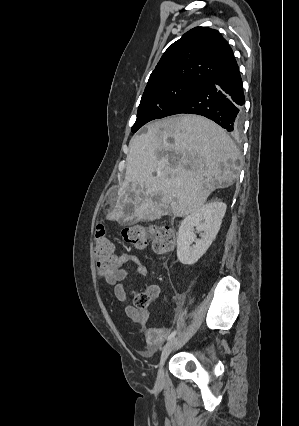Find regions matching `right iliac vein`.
<instances>
[{"mask_svg":"<svg viewBox=\"0 0 299 426\" xmlns=\"http://www.w3.org/2000/svg\"><path fill=\"white\" fill-rule=\"evenodd\" d=\"M179 338H173L171 339L162 349L159 365H158V372H157V379L156 383L158 386H161L164 381V364L171 353V351L175 348V346L178 344Z\"/></svg>","mask_w":299,"mask_h":426,"instance_id":"obj_1","label":"right iliac vein"}]
</instances>
